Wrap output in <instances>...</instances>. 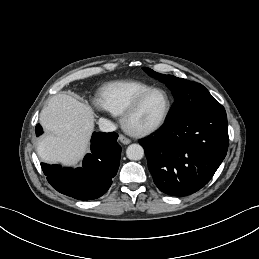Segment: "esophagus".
Instances as JSON below:
<instances>
[{"label": "esophagus", "instance_id": "esophagus-1", "mask_svg": "<svg viewBox=\"0 0 259 259\" xmlns=\"http://www.w3.org/2000/svg\"><path fill=\"white\" fill-rule=\"evenodd\" d=\"M119 140H120L121 143H123V144H125V145L131 143V140H130L129 138L125 137V136L122 135V134L119 136Z\"/></svg>", "mask_w": 259, "mask_h": 259}]
</instances>
